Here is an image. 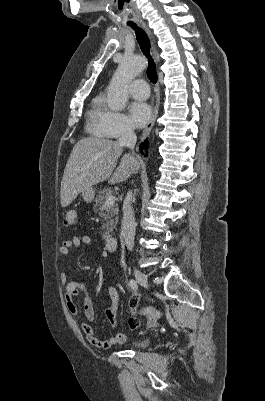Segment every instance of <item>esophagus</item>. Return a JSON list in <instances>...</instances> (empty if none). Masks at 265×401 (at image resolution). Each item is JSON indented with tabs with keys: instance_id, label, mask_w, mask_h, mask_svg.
Here are the masks:
<instances>
[{
	"instance_id": "34e87169",
	"label": "esophagus",
	"mask_w": 265,
	"mask_h": 401,
	"mask_svg": "<svg viewBox=\"0 0 265 401\" xmlns=\"http://www.w3.org/2000/svg\"><path fill=\"white\" fill-rule=\"evenodd\" d=\"M140 23L144 26V28L147 31V33L149 34V36L152 37V32L148 28L146 23L143 22L142 20H140ZM152 44H153V51H154L155 60H156V62H159L160 61L159 52H158V50H157V48L155 46L154 41L152 42ZM159 103H160V92H159V86H157L155 106H154V109H153V112H152V116H151L149 122L147 123V125L145 126V128H144V130L142 132V140L145 139V137H147V135L152 130V127L154 126V123H155L156 118L158 116Z\"/></svg>"
}]
</instances>
